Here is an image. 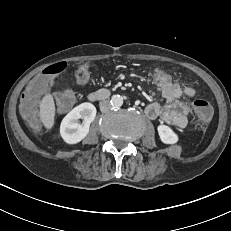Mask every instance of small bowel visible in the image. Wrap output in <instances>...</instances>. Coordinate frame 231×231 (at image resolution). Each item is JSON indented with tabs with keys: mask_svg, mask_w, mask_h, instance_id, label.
Returning <instances> with one entry per match:
<instances>
[{
	"mask_svg": "<svg viewBox=\"0 0 231 231\" xmlns=\"http://www.w3.org/2000/svg\"><path fill=\"white\" fill-rule=\"evenodd\" d=\"M155 84L161 91L165 102L163 104L153 102L147 105L146 116L149 119L160 118L162 122L175 128H184L187 125L189 107L181 99L182 97L192 98L195 95L193 85L181 87L179 84H174V81L169 85Z\"/></svg>",
	"mask_w": 231,
	"mask_h": 231,
	"instance_id": "small-bowel-1",
	"label": "small bowel"
}]
</instances>
